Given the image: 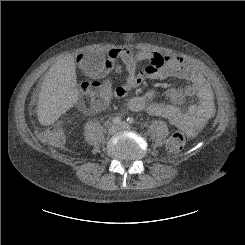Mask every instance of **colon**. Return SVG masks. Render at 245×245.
<instances>
[{"mask_svg":"<svg viewBox=\"0 0 245 245\" xmlns=\"http://www.w3.org/2000/svg\"><path fill=\"white\" fill-rule=\"evenodd\" d=\"M131 49V53H134V49ZM162 62H160V65ZM84 87H90L97 92L108 93L111 90V85L104 81L102 83H90L85 84ZM69 121L68 118H61L56 124L43 128L38 132L39 137L53 145H60L63 141L62 127ZM186 145V134L183 131L174 132L167 140V150L170 153L181 152Z\"/></svg>","mask_w":245,"mask_h":245,"instance_id":"5ec220e1","label":"colon"}]
</instances>
